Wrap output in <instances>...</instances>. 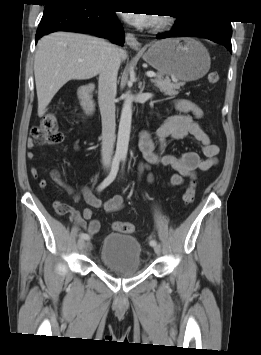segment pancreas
<instances>
[{"instance_id":"obj_1","label":"pancreas","mask_w":261,"mask_h":355,"mask_svg":"<svg viewBox=\"0 0 261 355\" xmlns=\"http://www.w3.org/2000/svg\"><path fill=\"white\" fill-rule=\"evenodd\" d=\"M157 88L166 96L174 97L179 94L180 83H172L170 79H164L160 75L151 80Z\"/></svg>"}]
</instances>
